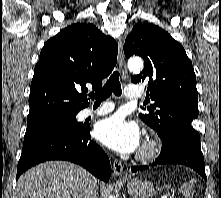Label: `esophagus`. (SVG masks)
Segmentation results:
<instances>
[{"label":"esophagus","instance_id":"esophagus-1","mask_svg":"<svg viewBox=\"0 0 221 198\" xmlns=\"http://www.w3.org/2000/svg\"><path fill=\"white\" fill-rule=\"evenodd\" d=\"M118 62L121 70L122 79H126L128 77V70L125 62V57L123 54V45L122 40L118 39ZM123 172V165L120 161L114 160L113 162V173L116 176H120Z\"/></svg>","mask_w":221,"mask_h":198}]
</instances>
